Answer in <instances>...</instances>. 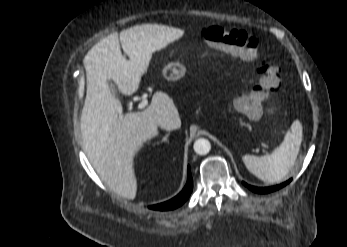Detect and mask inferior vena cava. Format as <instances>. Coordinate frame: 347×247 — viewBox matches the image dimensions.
Returning a JSON list of instances; mask_svg holds the SVG:
<instances>
[{"mask_svg":"<svg viewBox=\"0 0 347 247\" xmlns=\"http://www.w3.org/2000/svg\"><path fill=\"white\" fill-rule=\"evenodd\" d=\"M161 128L165 129L166 131L175 130L178 128V123L169 117H164L159 121L158 124Z\"/></svg>","mask_w":347,"mask_h":247,"instance_id":"1","label":"inferior vena cava"}]
</instances>
